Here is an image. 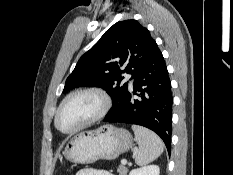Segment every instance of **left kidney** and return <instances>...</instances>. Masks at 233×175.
<instances>
[{"label":"left kidney","mask_w":233,"mask_h":175,"mask_svg":"<svg viewBox=\"0 0 233 175\" xmlns=\"http://www.w3.org/2000/svg\"><path fill=\"white\" fill-rule=\"evenodd\" d=\"M160 169L157 165L143 166L141 168L133 169L129 175H159Z\"/></svg>","instance_id":"obj_1"}]
</instances>
